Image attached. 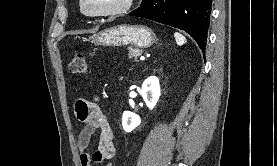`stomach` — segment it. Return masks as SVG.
<instances>
[{"label":"stomach","mask_w":277,"mask_h":166,"mask_svg":"<svg viewBox=\"0 0 277 166\" xmlns=\"http://www.w3.org/2000/svg\"><path fill=\"white\" fill-rule=\"evenodd\" d=\"M157 41L155 33L144 25H117L93 36V43L105 46L134 45L147 48Z\"/></svg>","instance_id":"stomach-1"}]
</instances>
